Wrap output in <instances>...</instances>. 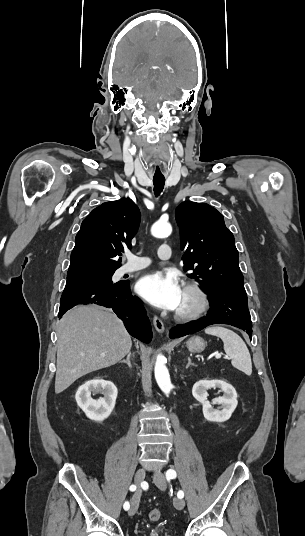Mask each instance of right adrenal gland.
Returning a JSON list of instances; mask_svg holds the SVG:
<instances>
[{"mask_svg":"<svg viewBox=\"0 0 305 536\" xmlns=\"http://www.w3.org/2000/svg\"><path fill=\"white\" fill-rule=\"evenodd\" d=\"M135 352H133V356H134ZM132 356V352H129L126 360H122V362H124V364H127V366H129V368H132L131 366V362H130V358Z\"/></svg>","mask_w":305,"mask_h":536,"instance_id":"right-adrenal-gland-1","label":"right adrenal gland"}]
</instances>
